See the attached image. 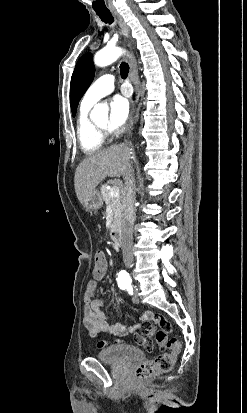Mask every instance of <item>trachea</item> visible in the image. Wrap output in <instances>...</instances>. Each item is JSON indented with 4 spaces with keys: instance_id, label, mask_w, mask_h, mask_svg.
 <instances>
[{
    "instance_id": "obj_1",
    "label": "trachea",
    "mask_w": 247,
    "mask_h": 413,
    "mask_svg": "<svg viewBox=\"0 0 247 413\" xmlns=\"http://www.w3.org/2000/svg\"><path fill=\"white\" fill-rule=\"evenodd\" d=\"M97 15L101 18V20L105 23H112L113 17L109 11H96ZM129 66L127 63L122 62L120 65V74L122 78H126L128 76Z\"/></svg>"
}]
</instances>
